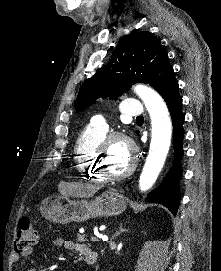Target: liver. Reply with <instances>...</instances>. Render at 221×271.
<instances>
[{"instance_id": "obj_1", "label": "liver", "mask_w": 221, "mask_h": 271, "mask_svg": "<svg viewBox=\"0 0 221 271\" xmlns=\"http://www.w3.org/2000/svg\"><path fill=\"white\" fill-rule=\"evenodd\" d=\"M96 189H100V187H96ZM91 191V193H89ZM70 195H80V197H89V195H92L94 193V187H86V185H71Z\"/></svg>"}]
</instances>
